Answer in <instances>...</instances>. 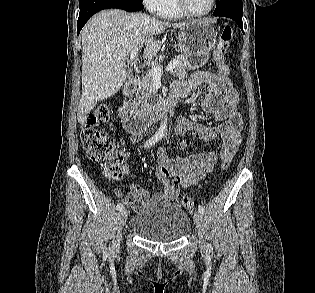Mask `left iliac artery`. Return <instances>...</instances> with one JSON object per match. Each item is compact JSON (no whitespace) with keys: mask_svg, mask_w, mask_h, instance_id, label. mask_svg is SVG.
<instances>
[{"mask_svg":"<svg viewBox=\"0 0 315 293\" xmlns=\"http://www.w3.org/2000/svg\"><path fill=\"white\" fill-rule=\"evenodd\" d=\"M165 136V135H164ZM198 211L203 215L204 213H205V209H204V207L203 206H199L198 207Z\"/></svg>","mask_w":315,"mask_h":293,"instance_id":"1","label":"left iliac artery"}]
</instances>
